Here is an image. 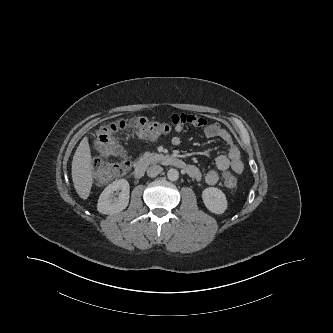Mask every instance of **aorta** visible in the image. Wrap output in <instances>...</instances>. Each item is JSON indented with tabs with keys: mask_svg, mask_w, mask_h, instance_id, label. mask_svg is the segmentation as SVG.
Listing matches in <instances>:
<instances>
[{
	"mask_svg": "<svg viewBox=\"0 0 333 333\" xmlns=\"http://www.w3.org/2000/svg\"><path fill=\"white\" fill-rule=\"evenodd\" d=\"M167 177L170 181H176L179 178V172L178 170L171 168L167 172Z\"/></svg>",
	"mask_w": 333,
	"mask_h": 333,
	"instance_id": "1",
	"label": "aorta"
}]
</instances>
